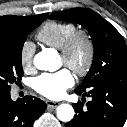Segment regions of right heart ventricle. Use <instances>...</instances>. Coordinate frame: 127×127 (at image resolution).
<instances>
[{"label": "right heart ventricle", "instance_id": "obj_1", "mask_svg": "<svg viewBox=\"0 0 127 127\" xmlns=\"http://www.w3.org/2000/svg\"><path fill=\"white\" fill-rule=\"evenodd\" d=\"M77 27L71 22L47 21L37 31V39L44 45L61 49Z\"/></svg>", "mask_w": 127, "mask_h": 127}]
</instances>
